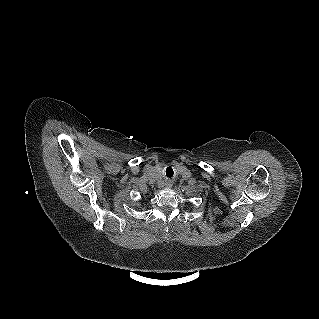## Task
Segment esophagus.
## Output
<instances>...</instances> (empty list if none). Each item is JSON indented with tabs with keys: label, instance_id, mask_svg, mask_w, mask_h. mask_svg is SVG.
<instances>
[{
	"label": "esophagus",
	"instance_id": "esophagus-1",
	"mask_svg": "<svg viewBox=\"0 0 319 319\" xmlns=\"http://www.w3.org/2000/svg\"><path fill=\"white\" fill-rule=\"evenodd\" d=\"M165 187L166 188H171L172 187V182L171 181H166Z\"/></svg>",
	"mask_w": 319,
	"mask_h": 319
}]
</instances>
